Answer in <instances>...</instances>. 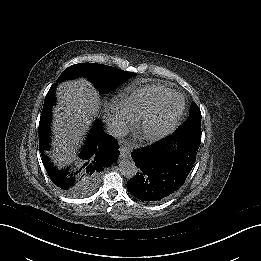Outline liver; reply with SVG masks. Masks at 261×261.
Wrapping results in <instances>:
<instances>
[{"label": "liver", "instance_id": "1", "mask_svg": "<svg viewBox=\"0 0 261 261\" xmlns=\"http://www.w3.org/2000/svg\"><path fill=\"white\" fill-rule=\"evenodd\" d=\"M53 109V149L51 158L58 166L77 158V149L94 118L100 99L97 90L84 78L66 81L57 87Z\"/></svg>", "mask_w": 261, "mask_h": 261}]
</instances>
